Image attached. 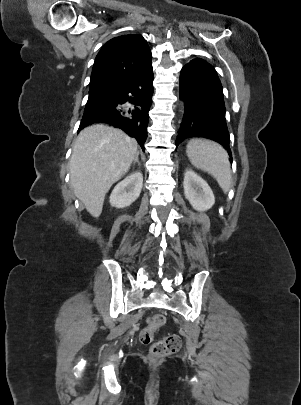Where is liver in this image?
Returning a JSON list of instances; mask_svg holds the SVG:
<instances>
[{
	"instance_id": "obj_1",
	"label": "liver",
	"mask_w": 301,
	"mask_h": 405,
	"mask_svg": "<svg viewBox=\"0 0 301 405\" xmlns=\"http://www.w3.org/2000/svg\"><path fill=\"white\" fill-rule=\"evenodd\" d=\"M136 152V140L119 129L94 124L79 133L70 159V183L93 217L100 216L106 193L129 171Z\"/></svg>"
}]
</instances>
